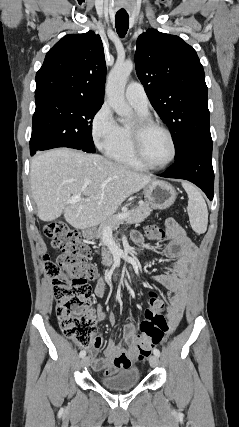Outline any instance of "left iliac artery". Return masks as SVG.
Here are the masks:
<instances>
[{"mask_svg": "<svg viewBox=\"0 0 239 427\" xmlns=\"http://www.w3.org/2000/svg\"><path fill=\"white\" fill-rule=\"evenodd\" d=\"M154 355H156L157 357L160 356V351L158 349H154L153 350Z\"/></svg>", "mask_w": 239, "mask_h": 427, "instance_id": "obj_1", "label": "left iliac artery"}]
</instances>
